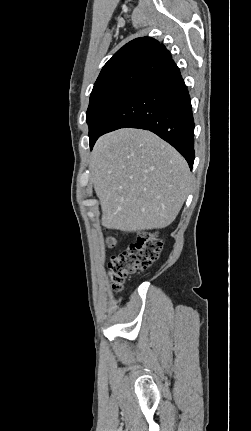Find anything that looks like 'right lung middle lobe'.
Instances as JSON below:
<instances>
[{
    "mask_svg": "<svg viewBox=\"0 0 251 431\" xmlns=\"http://www.w3.org/2000/svg\"><path fill=\"white\" fill-rule=\"evenodd\" d=\"M148 62H134L96 82L87 110L90 143L100 136L107 122L144 74Z\"/></svg>",
    "mask_w": 251,
    "mask_h": 431,
    "instance_id": "dd1d6c3e",
    "label": "right lung middle lobe"
}]
</instances>
